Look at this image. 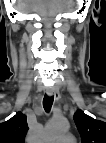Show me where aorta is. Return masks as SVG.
<instances>
[{"instance_id":"aorta-1","label":"aorta","mask_w":106,"mask_h":143,"mask_svg":"<svg viewBox=\"0 0 106 143\" xmlns=\"http://www.w3.org/2000/svg\"><path fill=\"white\" fill-rule=\"evenodd\" d=\"M69 129V124L65 120H51L45 127L43 138L55 140Z\"/></svg>"}]
</instances>
